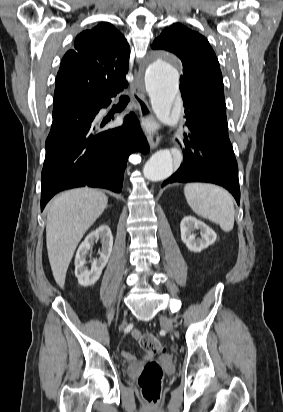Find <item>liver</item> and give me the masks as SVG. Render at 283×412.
I'll return each mask as SVG.
<instances>
[{
    "mask_svg": "<svg viewBox=\"0 0 283 412\" xmlns=\"http://www.w3.org/2000/svg\"><path fill=\"white\" fill-rule=\"evenodd\" d=\"M107 196L96 189L62 193L47 207L46 245L56 283L63 288L68 266L85 232L107 207Z\"/></svg>",
    "mask_w": 283,
    "mask_h": 412,
    "instance_id": "liver-1",
    "label": "liver"
}]
</instances>
